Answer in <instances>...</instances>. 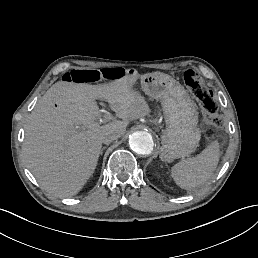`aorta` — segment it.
<instances>
[{
  "mask_svg": "<svg viewBox=\"0 0 258 258\" xmlns=\"http://www.w3.org/2000/svg\"><path fill=\"white\" fill-rule=\"evenodd\" d=\"M130 148L141 155H149L154 148V142L150 133L146 131H137L130 135Z\"/></svg>",
  "mask_w": 258,
  "mask_h": 258,
  "instance_id": "aorta-1",
  "label": "aorta"
}]
</instances>
